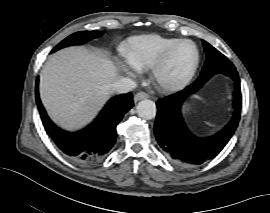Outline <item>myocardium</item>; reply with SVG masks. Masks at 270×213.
Here are the masks:
<instances>
[{
  "label": "myocardium",
  "instance_id": "f54148a6",
  "mask_svg": "<svg viewBox=\"0 0 270 213\" xmlns=\"http://www.w3.org/2000/svg\"><path fill=\"white\" fill-rule=\"evenodd\" d=\"M182 43H189L193 46L194 51H195V62L192 67V69L189 71L187 75H185L183 78L172 82V83H166L163 82L159 78V74L163 67L166 65L168 62L172 52L175 50L177 46H179ZM200 63V53L199 50L196 46V44L189 40V39H179L172 43L169 47H167L163 53L155 60V62L151 65L150 71H151V80L152 83L156 86V88L164 93H171V92H176L179 90H182L185 88L193 79L195 76L197 69L199 67Z\"/></svg>",
  "mask_w": 270,
  "mask_h": 213
}]
</instances>
